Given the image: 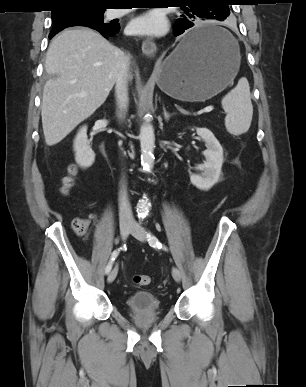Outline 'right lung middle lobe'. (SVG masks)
<instances>
[{"instance_id": "dd1d6c3e", "label": "right lung middle lobe", "mask_w": 306, "mask_h": 387, "mask_svg": "<svg viewBox=\"0 0 306 387\" xmlns=\"http://www.w3.org/2000/svg\"><path fill=\"white\" fill-rule=\"evenodd\" d=\"M105 8L93 6H73L52 12L53 28L51 34L58 33L71 26H86L90 28L113 26L104 23Z\"/></svg>"}]
</instances>
